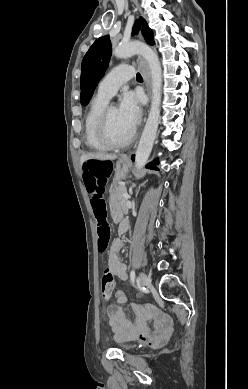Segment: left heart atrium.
Masks as SVG:
<instances>
[{
    "label": "left heart atrium",
    "mask_w": 248,
    "mask_h": 389,
    "mask_svg": "<svg viewBox=\"0 0 248 389\" xmlns=\"http://www.w3.org/2000/svg\"><path fill=\"white\" fill-rule=\"evenodd\" d=\"M139 99L137 94L125 91L118 107L121 117L132 130L135 128L141 115Z\"/></svg>",
    "instance_id": "1"
}]
</instances>
